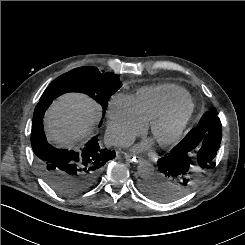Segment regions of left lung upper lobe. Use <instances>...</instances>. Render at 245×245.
<instances>
[{
  "label": "left lung upper lobe",
  "instance_id": "1",
  "mask_svg": "<svg viewBox=\"0 0 245 245\" xmlns=\"http://www.w3.org/2000/svg\"><path fill=\"white\" fill-rule=\"evenodd\" d=\"M210 113H215L214 111H209Z\"/></svg>",
  "mask_w": 245,
  "mask_h": 245
}]
</instances>
